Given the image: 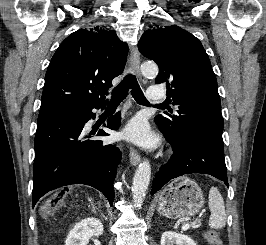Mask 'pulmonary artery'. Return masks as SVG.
Here are the masks:
<instances>
[{"mask_svg": "<svg viewBox=\"0 0 266 245\" xmlns=\"http://www.w3.org/2000/svg\"><path fill=\"white\" fill-rule=\"evenodd\" d=\"M149 96H153V101H162L163 95H165V92L161 91V86H149Z\"/></svg>", "mask_w": 266, "mask_h": 245, "instance_id": "e3ab8cb5", "label": "pulmonary artery"}]
</instances>
